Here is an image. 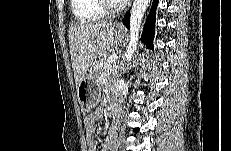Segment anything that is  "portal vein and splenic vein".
<instances>
[{
    "label": "portal vein and splenic vein",
    "instance_id": "1",
    "mask_svg": "<svg viewBox=\"0 0 231 151\" xmlns=\"http://www.w3.org/2000/svg\"><path fill=\"white\" fill-rule=\"evenodd\" d=\"M118 58V56L117 55H111V56H109L108 58H107V62L108 63H111V62H114V61H116V59Z\"/></svg>",
    "mask_w": 231,
    "mask_h": 151
}]
</instances>
